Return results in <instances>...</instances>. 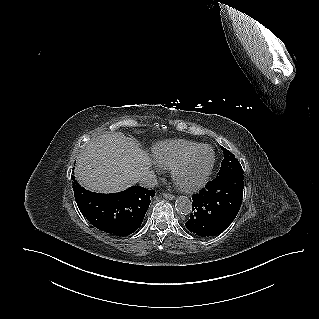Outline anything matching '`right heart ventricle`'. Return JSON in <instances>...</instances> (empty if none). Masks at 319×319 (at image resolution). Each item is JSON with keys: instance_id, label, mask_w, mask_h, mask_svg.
Masks as SVG:
<instances>
[{"instance_id": "1", "label": "right heart ventricle", "mask_w": 319, "mask_h": 319, "mask_svg": "<svg viewBox=\"0 0 319 319\" xmlns=\"http://www.w3.org/2000/svg\"><path fill=\"white\" fill-rule=\"evenodd\" d=\"M200 143L189 140L161 141L152 148V156L156 163L165 169H172L187 153Z\"/></svg>"}]
</instances>
